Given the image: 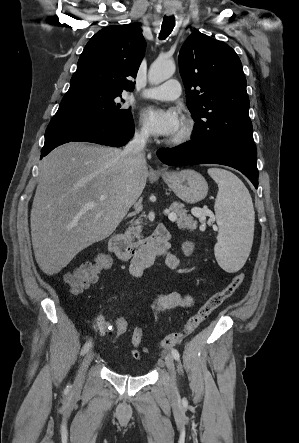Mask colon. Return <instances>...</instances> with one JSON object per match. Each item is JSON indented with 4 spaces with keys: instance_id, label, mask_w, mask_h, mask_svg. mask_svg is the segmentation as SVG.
Wrapping results in <instances>:
<instances>
[{
    "instance_id": "colon-1",
    "label": "colon",
    "mask_w": 299,
    "mask_h": 443,
    "mask_svg": "<svg viewBox=\"0 0 299 443\" xmlns=\"http://www.w3.org/2000/svg\"><path fill=\"white\" fill-rule=\"evenodd\" d=\"M110 264V258L106 254L99 255L93 262H86L65 276V282L74 294L80 293L93 282L101 270ZM245 280L243 273L236 274L232 280L220 291L211 295L198 311L189 318L183 329L179 332L166 336L160 343L164 349H169L179 344L185 337L193 333L215 310L226 300L231 298ZM112 333L116 337H122L131 331V346L139 348L145 342L143 330L132 325L127 315H120L111 324Z\"/></svg>"
}]
</instances>
